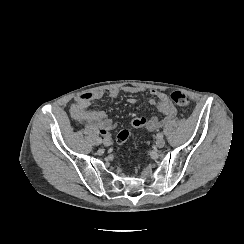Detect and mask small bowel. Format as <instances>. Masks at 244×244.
Listing matches in <instances>:
<instances>
[{"label": "small bowel", "instance_id": "obj_1", "mask_svg": "<svg viewBox=\"0 0 244 244\" xmlns=\"http://www.w3.org/2000/svg\"><path fill=\"white\" fill-rule=\"evenodd\" d=\"M122 91L128 93H136L139 92L140 89L132 87H126L123 90L113 88L107 92V95L111 98H115L118 97L122 93ZM148 93L152 97L149 100V104L157 106L163 117L149 118L150 124L147 127L143 128L148 131H155L161 128L168 121L176 118L178 115V110L170 101L168 95L165 92L158 89H149ZM103 95L104 93L102 91H98L91 94L88 100H84L80 97L77 98L71 105L70 113L80 112L84 114L88 120L89 126L99 127L100 132L106 135L112 132L115 129L116 125L112 122L110 117L105 112L99 109H90V99H99ZM129 102L134 104L136 103V100L131 98L129 99Z\"/></svg>", "mask_w": 244, "mask_h": 244}]
</instances>
